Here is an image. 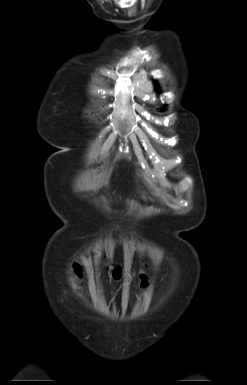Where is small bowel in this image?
I'll list each match as a JSON object with an SVG mask.
<instances>
[{
    "label": "small bowel",
    "mask_w": 247,
    "mask_h": 385,
    "mask_svg": "<svg viewBox=\"0 0 247 385\" xmlns=\"http://www.w3.org/2000/svg\"><path fill=\"white\" fill-rule=\"evenodd\" d=\"M127 295H128V292H127V290H125L124 294H123V305H125V303H126Z\"/></svg>",
    "instance_id": "c3829d8e"
}]
</instances>
